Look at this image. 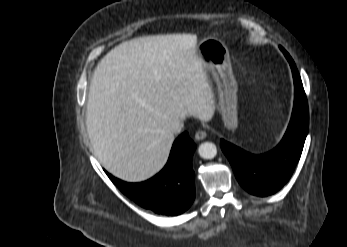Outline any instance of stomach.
Masks as SVG:
<instances>
[{
    "instance_id": "obj_1",
    "label": "stomach",
    "mask_w": 347,
    "mask_h": 247,
    "mask_svg": "<svg viewBox=\"0 0 347 247\" xmlns=\"http://www.w3.org/2000/svg\"><path fill=\"white\" fill-rule=\"evenodd\" d=\"M195 50L216 83L218 107L223 125L228 130H235L238 126V86L228 48L216 38H206L199 42Z\"/></svg>"
}]
</instances>
